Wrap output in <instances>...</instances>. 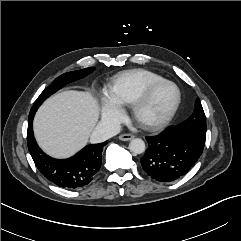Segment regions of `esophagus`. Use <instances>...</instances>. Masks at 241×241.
<instances>
[{"mask_svg": "<svg viewBox=\"0 0 241 241\" xmlns=\"http://www.w3.org/2000/svg\"><path fill=\"white\" fill-rule=\"evenodd\" d=\"M133 138H134V136L132 134H122V135L119 136V139L121 141H129Z\"/></svg>", "mask_w": 241, "mask_h": 241, "instance_id": "1", "label": "esophagus"}]
</instances>
